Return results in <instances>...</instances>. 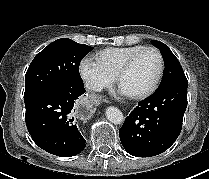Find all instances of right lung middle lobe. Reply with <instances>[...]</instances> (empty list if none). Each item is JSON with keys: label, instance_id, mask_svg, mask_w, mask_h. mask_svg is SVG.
<instances>
[{"label": "right lung middle lobe", "instance_id": "right-lung-middle-lobe-1", "mask_svg": "<svg viewBox=\"0 0 209 179\" xmlns=\"http://www.w3.org/2000/svg\"><path fill=\"white\" fill-rule=\"evenodd\" d=\"M93 48L62 38L49 44L31 62L25 75V106L57 87L83 85L79 64Z\"/></svg>", "mask_w": 209, "mask_h": 179}]
</instances>
